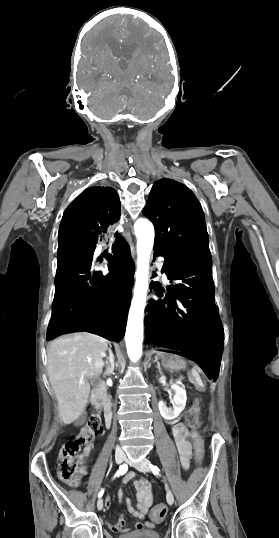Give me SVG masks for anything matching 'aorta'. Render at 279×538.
I'll return each instance as SVG.
<instances>
[{
  "label": "aorta",
  "mask_w": 279,
  "mask_h": 538,
  "mask_svg": "<svg viewBox=\"0 0 279 538\" xmlns=\"http://www.w3.org/2000/svg\"><path fill=\"white\" fill-rule=\"evenodd\" d=\"M137 238V269L134 294L129 309L125 342L127 353L132 362H137L142 356L144 309L149 279V261L154 245V226L140 218L134 224Z\"/></svg>",
  "instance_id": "762f6f07"
}]
</instances>
